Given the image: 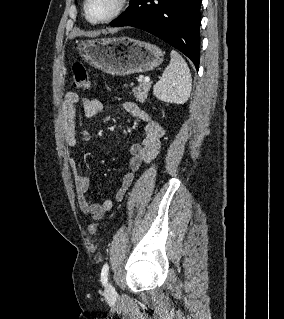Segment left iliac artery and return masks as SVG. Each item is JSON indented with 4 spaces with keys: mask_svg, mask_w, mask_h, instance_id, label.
Masks as SVG:
<instances>
[{
    "mask_svg": "<svg viewBox=\"0 0 284 319\" xmlns=\"http://www.w3.org/2000/svg\"><path fill=\"white\" fill-rule=\"evenodd\" d=\"M108 264H105L101 270V282L103 285L107 283V278H108Z\"/></svg>",
    "mask_w": 284,
    "mask_h": 319,
    "instance_id": "44dca946",
    "label": "left iliac artery"
}]
</instances>
